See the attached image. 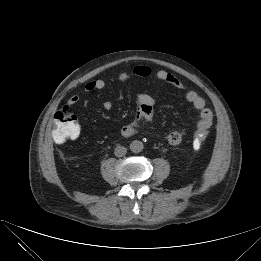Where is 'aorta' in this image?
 Wrapping results in <instances>:
<instances>
[{"label":"aorta","mask_w":261,"mask_h":261,"mask_svg":"<svg viewBox=\"0 0 261 261\" xmlns=\"http://www.w3.org/2000/svg\"><path fill=\"white\" fill-rule=\"evenodd\" d=\"M144 145L141 141L139 140H134L130 144V150L134 153H139L143 150Z\"/></svg>","instance_id":"aorta-1"}]
</instances>
